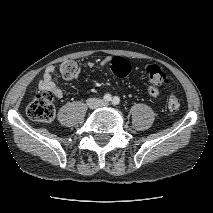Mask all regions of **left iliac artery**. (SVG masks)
<instances>
[{
  "instance_id": "44dca946",
  "label": "left iliac artery",
  "mask_w": 213,
  "mask_h": 213,
  "mask_svg": "<svg viewBox=\"0 0 213 213\" xmlns=\"http://www.w3.org/2000/svg\"><path fill=\"white\" fill-rule=\"evenodd\" d=\"M120 103V98L115 96L113 99H112V104L113 105H118Z\"/></svg>"
}]
</instances>
